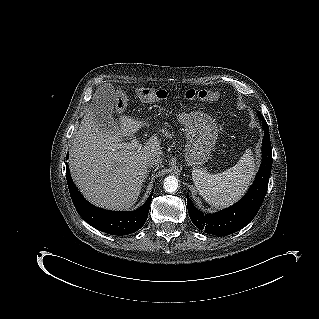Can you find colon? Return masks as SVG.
Segmentation results:
<instances>
[{
	"mask_svg": "<svg viewBox=\"0 0 319 319\" xmlns=\"http://www.w3.org/2000/svg\"><path fill=\"white\" fill-rule=\"evenodd\" d=\"M137 96L144 102H155L165 100L168 96L167 92L163 89H155L149 86H142L136 89ZM175 98H182L185 100H198V101H214L218 98V94L209 90H195L189 89ZM127 96L123 92H119L116 97V107L119 111H123L127 106Z\"/></svg>",
	"mask_w": 319,
	"mask_h": 319,
	"instance_id": "5ec220e1",
	"label": "colon"
}]
</instances>
